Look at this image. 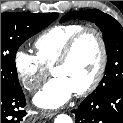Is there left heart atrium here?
<instances>
[{
  "label": "left heart atrium",
  "mask_w": 123,
  "mask_h": 123,
  "mask_svg": "<svg viewBox=\"0 0 123 123\" xmlns=\"http://www.w3.org/2000/svg\"><path fill=\"white\" fill-rule=\"evenodd\" d=\"M74 92L63 77H55L45 84L34 97V103L42 108L54 109L66 103Z\"/></svg>",
  "instance_id": "left-heart-atrium-1"
}]
</instances>
